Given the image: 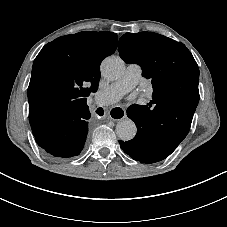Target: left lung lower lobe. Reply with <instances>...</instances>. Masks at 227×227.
<instances>
[{
	"mask_svg": "<svg viewBox=\"0 0 227 227\" xmlns=\"http://www.w3.org/2000/svg\"><path fill=\"white\" fill-rule=\"evenodd\" d=\"M148 105H131L127 116L137 126L136 136L119 141L122 150L141 163H155L168 157L189 132L196 107L178 102L152 101Z\"/></svg>",
	"mask_w": 227,
	"mask_h": 227,
	"instance_id": "0a47b994",
	"label": "left lung lower lobe"
}]
</instances>
